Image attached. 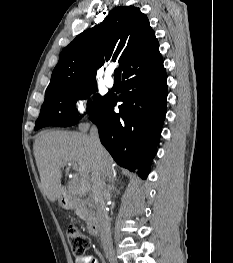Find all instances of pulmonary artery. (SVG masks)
Instances as JSON below:
<instances>
[{
    "instance_id": "pulmonary-artery-1",
    "label": "pulmonary artery",
    "mask_w": 233,
    "mask_h": 263,
    "mask_svg": "<svg viewBox=\"0 0 233 263\" xmlns=\"http://www.w3.org/2000/svg\"><path fill=\"white\" fill-rule=\"evenodd\" d=\"M112 70H108L104 79V83L107 87L111 88L114 85V80L111 77Z\"/></svg>"
}]
</instances>
